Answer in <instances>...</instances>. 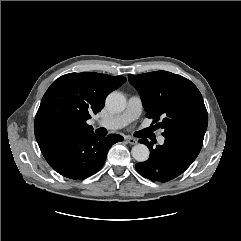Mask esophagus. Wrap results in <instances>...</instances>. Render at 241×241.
<instances>
[{"label": "esophagus", "instance_id": "1", "mask_svg": "<svg viewBox=\"0 0 241 241\" xmlns=\"http://www.w3.org/2000/svg\"><path fill=\"white\" fill-rule=\"evenodd\" d=\"M125 140H126V142H128L131 145L137 144V140L135 138L127 136V137H125Z\"/></svg>", "mask_w": 241, "mask_h": 241}]
</instances>
